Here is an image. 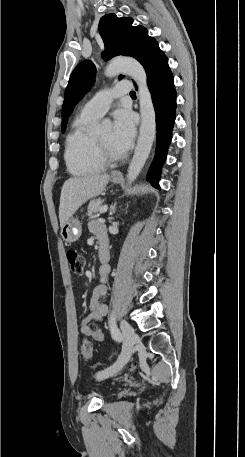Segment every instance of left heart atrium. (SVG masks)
I'll return each instance as SVG.
<instances>
[{"instance_id": "39dd6f15", "label": "left heart atrium", "mask_w": 245, "mask_h": 457, "mask_svg": "<svg viewBox=\"0 0 245 457\" xmlns=\"http://www.w3.org/2000/svg\"><path fill=\"white\" fill-rule=\"evenodd\" d=\"M135 134V120L133 114L126 109H119L114 113L112 142L126 151L130 148Z\"/></svg>"}]
</instances>
